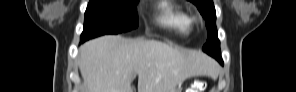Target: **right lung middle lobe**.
Masks as SVG:
<instances>
[{"mask_svg": "<svg viewBox=\"0 0 296 92\" xmlns=\"http://www.w3.org/2000/svg\"><path fill=\"white\" fill-rule=\"evenodd\" d=\"M136 0H90L81 41L104 34H118L138 27Z\"/></svg>", "mask_w": 296, "mask_h": 92, "instance_id": "dd1d6c3e", "label": "right lung middle lobe"}]
</instances>
